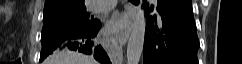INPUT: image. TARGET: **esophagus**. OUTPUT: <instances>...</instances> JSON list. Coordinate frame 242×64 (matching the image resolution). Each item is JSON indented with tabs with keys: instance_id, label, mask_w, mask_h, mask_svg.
Instances as JSON below:
<instances>
[{
	"instance_id": "1",
	"label": "esophagus",
	"mask_w": 242,
	"mask_h": 64,
	"mask_svg": "<svg viewBox=\"0 0 242 64\" xmlns=\"http://www.w3.org/2000/svg\"><path fill=\"white\" fill-rule=\"evenodd\" d=\"M131 15H132V10H131ZM130 31H131V28H130V26H128L121 33V35L118 37V41H119L120 45H125L126 44L128 38H129V35H130Z\"/></svg>"
}]
</instances>
